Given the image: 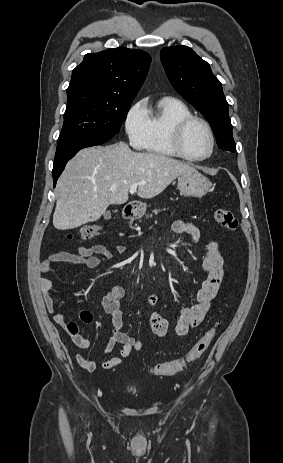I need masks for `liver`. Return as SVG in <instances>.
I'll return each instance as SVG.
<instances>
[{"label":"liver","mask_w":283,"mask_h":463,"mask_svg":"<svg viewBox=\"0 0 283 463\" xmlns=\"http://www.w3.org/2000/svg\"><path fill=\"white\" fill-rule=\"evenodd\" d=\"M195 171L170 157L134 152L123 142L82 149L58 179L53 225L68 230L97 221L109 205L128 201L134 183L145 182L137 195L150 199L177 177Z\"/></svg>","instance_id":"6515ba94"}]
</instances>
